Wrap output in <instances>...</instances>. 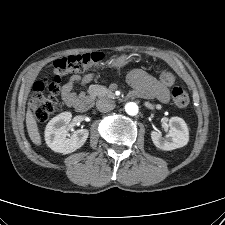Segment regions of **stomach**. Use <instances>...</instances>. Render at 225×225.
Returning <instances> with one entry per match:
<instances>
[{
	"label": "stomach",
	"mask_w": 225,
	"mask_h": 225,
	"mask_svg": "<svg viewBox=\"0 0 225 225\" xmlns=\"http://www.w3.org/2000/svg\"><path fill=\"white\" fill-rule=\"evenodd\" d=\"M129 62V59L126 56H120L112 61L111 66L115 68H121Z\"/></svg>",
	"instance_id": "obj_1"
}]
</instances>
